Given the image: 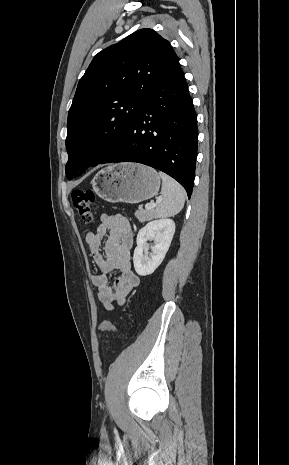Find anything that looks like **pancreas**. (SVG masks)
Masks as SVG:
<instances>
[{
	"label": "pancreas",
	"mask_w": 289,
	"mask_h": 465,
	"mask_svg": "<svg viewBox=\"0 0 289 465\" xmlns=\"http://www.w3.org/2000/svg\"><path fill=\"white\" fill-rule=\"evenodd\" d=\"M135 216L138 218L140 222H146L149 219L152 218L153 216V211L152 210H143L140 208L135 212Z\"/></svg>",
	"instance_id": "obj_1"
}]
</instances>
